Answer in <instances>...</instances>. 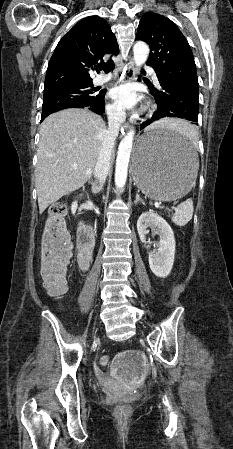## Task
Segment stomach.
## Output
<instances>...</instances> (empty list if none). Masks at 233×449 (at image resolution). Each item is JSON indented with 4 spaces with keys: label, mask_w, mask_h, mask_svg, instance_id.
Listing matches in <instances>:
<instances>
[{
    "label": "stomach",
    "mask_w": 233,
    "mask_h": 449,
    "mask_svg": "<svg viewBox=\"0 0 233 449\" xmlns=\"http://www.w3.org/2000/svg\"><path fill=\"white\" fill-rule=\"evenodd\" d=\"M194 145L169 127L148 128L133 154L131 172L149 198L171 201L187 194L198 169Z\"/></svg>",
    "instance_id": "obj_1"
}]
</instances>
